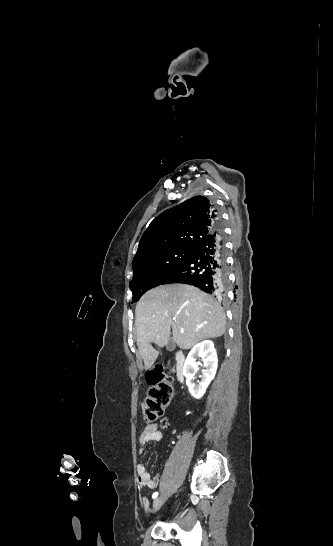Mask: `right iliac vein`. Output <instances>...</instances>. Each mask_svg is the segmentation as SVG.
<instances>
[{
	"mask_svg": "<svg viewBox=\"0 0 333 546\" xmlns=\"http://www.w3.org/2000/svg\"><path fill=\"white\" fill-rule=\"evenodd\" d=\"M165 498L166 496L163 495V496H160L158 498H156L154 500V503H153V512H156L160 507L161 505L163 504V502L165 501Z\"/></svg>",
	"mask_w": 333,
	"mask_h": 546,
	"instance_id": "1",
	"label": "right iliac vein"
}]
</instances>
